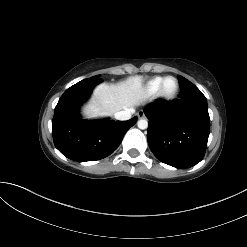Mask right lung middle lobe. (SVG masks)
Returning a JSON list of instances; mask_svg holds the SVG:
<instances>
[{
	"instance_id": "obj_1",
	"label": "right lung middle lobe",
	"mask_w": 247,
	"mask_h": 247,
	"mask_svg": "<svg viewBox=\"0 0 247 247\" xmlns=\"http://www.w3.org/2000/svg\"><path fill=\"white\" fill-rule=\"evenodd\" d=\"M84 81L87 83H91V82L98 83V82H101L102 79H100V75H97L92 78L85 79Z\"/></svg>"
}]
</instances>
